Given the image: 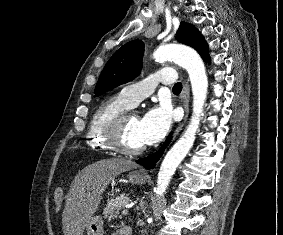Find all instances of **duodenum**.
<instances>
[{
  "label": "duodenum",
  "mask_w": 283,
  "mask_h": 235,
  "mask_svg": "<svg viewBox=\"0 0 283 235\" xmlns=\"http://www.w3.org/2000/svg\"><path fill=\"white\" fill-rule=\"evenodd\" d=\"M120 235H132L131 229L129 227L120 228Z\"/></svg>",
  "instance_id": "obj_1"
}]
</instances>
